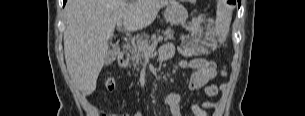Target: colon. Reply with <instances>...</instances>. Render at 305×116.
<instances>
[{"label": "colon", "instance_id": "colon-1", "mask_svg": "<svg viewBox=\"0 0 305 116\" xmlns=\"http://www.w3.org/2000/svg\"><path fill=\"white\" fill-rule=\"evenodd\" d=\"M233 1L230 0H218L217 6L218 10L222 14H228L233 9ZM106 88L109 91H113L116 87V82L113 76H109L106 80ZM102 116H128L127 114H116V113H107Z\"/></svg>", "mask_w": 305, "mask_h": 116}]
</instances>
